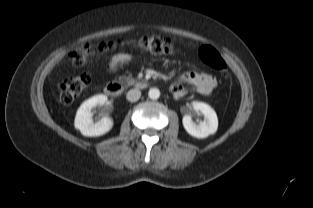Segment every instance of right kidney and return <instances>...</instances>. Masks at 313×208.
<instances>
[{
  "instance_id": "right-kidney-1",
  "label": "right kidney",
  "mask_w": 313,
  "mask_h": 208,
  "mask_svg": "<svg viewBox=\"0 0 313 208\" xmlns=\"http://www.w3.org/2000/svg\"><path fill=\"white\" fill-rule=\"evenodd\" d=\"M107 103V96L98 94L84 101L79 107L74 121V126L82 135L95 137L106 134L113 127V120L105 115L98 122L94 123L91 110L97 106H103Z\"/></svg>"
}]
</instances>
